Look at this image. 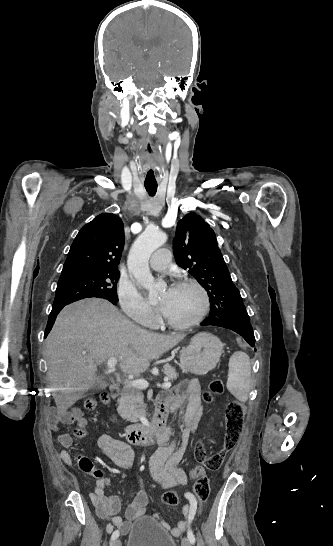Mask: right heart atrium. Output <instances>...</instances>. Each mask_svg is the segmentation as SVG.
I'll list each match as a JSON object with an SVG mask.
<instances>
[{
  "instance_id": "1",
  "label": "right heart atrium",
  "mask_w": 333,
  "mask_h": 546,
  "mask_svg": "<svg viewBox=\"0 0 333 546\" xmlns=\"http://www.w3.org/2000/svg\"><path fill=\"white\" fill-rule=\"evenodd\" d=\"M117 295L123 312L133 321L152 325L156 321L153 309L143 299L135 286L127 280L121 279L117 287Z\"/></svg>"
}]
</instances>
